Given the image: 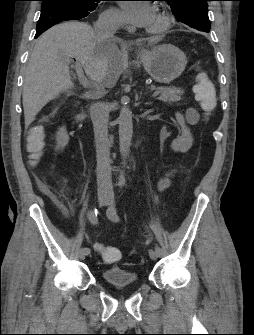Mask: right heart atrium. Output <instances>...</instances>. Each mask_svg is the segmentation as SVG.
<instances>
[{"label": "right heart atrium", "instance_id": "obj_1", "mask_svg": "<svg viewBox=\"0 0 254 335\" xmlns=\"http://www.w3.org/2000/svg\"><path fill=\"white\" fill-rule=\"evenodd\" d=\"M99 22L122 24L123 15L118 9L112 7V8L107 9L100 15Z\"/></svg>", "mask_w": 254, "mask_h": 335}]
</instances>
